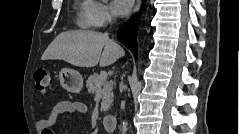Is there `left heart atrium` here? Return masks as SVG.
Returning <instances> with one entry per match:
<instances>
[{
	"label": "left heart atrium",
	"mask_w": 239,
	"mask_h": 134,
	"mask_svg": "<svg viewBox=\"0 0 239 134\" xmlns=\"http://www.w3.org/2000/svg\"><path fill=\"white\" fill-rule=\"evenodd\" d=\"M114 10L118 15H126L130 12L133 1L132 0H115L113 2Z\"/></svg>",
	"instance_id": "39dd6f15"
}]
</instances>
